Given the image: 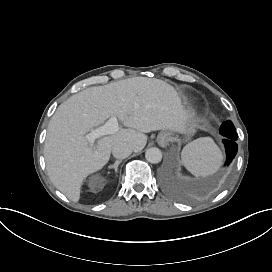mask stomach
<instances>
[{
  "mask_svg": "<svg viewBox=\"0 0 272 272\" xmlns=\"http://www.w3.org/2000/svg\"><path fill=\"white\" fill-rule=\"evenodd\" d=\"M180 132H181V133H185V132H186V128L184 127L183 130L180 131ZM188 132H189V133H194V132H196V130L193 129L192 127H189ZM163 134L167 135V136L169 137L170 140H175V139H176V137H174V136H172V135H170V134H168V133H161V134L158 135L157 140H159V139L161 138V135H163ZM158 143H159V142H158Z\"/></svg>",
  "mask_w": 272,
  "mask_h": 272,
  "instance_id": "obj_1",
  "label": "stomach"
}]
</instances>
